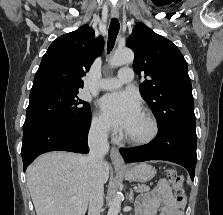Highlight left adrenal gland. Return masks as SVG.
<instances>
[{"instance_id": "1", "label": "left adrenal gland", "mask_w": 223, "mask_h": 215, "mask_svg": "<svg viewBox=\"0 0 223 215\" xmlns=\"http://www.w3.org/2000/svg\"><path fill=\"white\" fill-rule=\"evenodd\" d=\"M128 199H129V201H131V203H133V199H134V197H133V189H130V193L128 195Z\"/></svg>"}]
</instances>
